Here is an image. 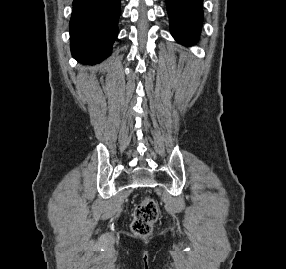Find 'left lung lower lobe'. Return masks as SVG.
Listing matches in <instances>:
<instances>
[{"mask_svg": "<svg viewBox=\"0 0 286 269\" xmlns=\"http://www.w3.org/2000/svg\"><path fill=\"white\" fill-rule=\"evenodd\" d=\"M203 0H166L173 37L182 44H194L203 20Z\"/></svg>", "mask_w": 286, "mask_h": 269, "instance_id": "0a47b994", "label": "left lung lower lobe"}]
</instances>
